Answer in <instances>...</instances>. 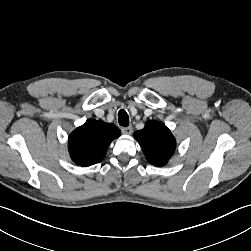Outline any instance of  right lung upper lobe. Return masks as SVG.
Wrapping results in <instances>:
<instances>
[{
  "instance_id": "obj_1",
  "label": "right lung upper lobe",
  "mask_w": 251,
  "mask_h": 251,
  "mask_svg": "<svg viewBox=\"0 0 251 251\" xmlns=\"http://www.w3.org/2000/svg\"><path fill=\"white\" fill-rule=\"evenodd\" d=\"M117 126L99 120H87L69 136L68 148L72 160L83 167L100 162L110 143L120 136Z\"/></svg>"
}]
</instances>
